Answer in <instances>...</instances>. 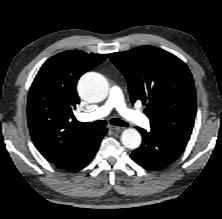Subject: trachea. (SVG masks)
Instances as JSON below:
<instances>
[{"label":"trachea","instance_id":"1","mask_svg":"<svg viewBox=\"0 0 222 219\" xmlns=\"http://www.w3.org/2000/svg\"><path fill=\"white\" fill-rule=\"evenodd\" d=\"M110 123L112 125H115V126H122V127L129 126V124L127 122H125V121H123L121 119H118V118L111 119ZM77 125L79 127L85 128V129H97V128L106 126L107 125V121H105V120H98V121H95V122H92V123L77 122Z\"/></svg>","mask_w":222,"mask_h":219}]
</instances>
